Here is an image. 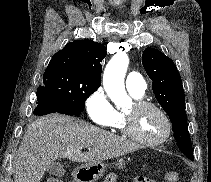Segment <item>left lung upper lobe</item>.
<instances>
[{"instance_id": "5c2ea615", "label": "left lung upper lobe", "mask_w": 211, "mask_h": 182, "mask_svg": "<svg viewBox=\"0 0 211 182\" xmlns=\"http://www.w3.org/2000/svg\"><path fill=\"white\" fill-rule=\"evenodd\" d=\"M144 69L152 80L153 93L168 114L174 138L181 152L194 160L187 127L182 80L174 62L161 51L146 48L142 55Z\"/></svg>"}]
</instances>
